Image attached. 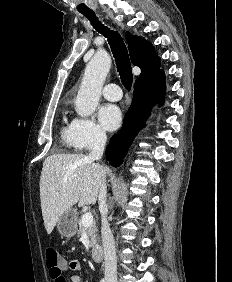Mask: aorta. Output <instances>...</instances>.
Wrapping results in <instances>:
<instances>
[{
  "instance_id": "aorta-1",
  "label": "aorta",
  "mask_w": 232,
  "mask_h": 282,
  "mask_svg": "<svg viewBox=\"0 0 232 282\" xmlns=\"http://www.w3.org/2000/svg\"><path fill=\"white\" fill-rule=\"evenodd\" d=\"M110 66L111 59L105 51H98L88 62L75 100L76 112L81 117L91 115L98 106Z\"/></svg>"
}]
</instances>
